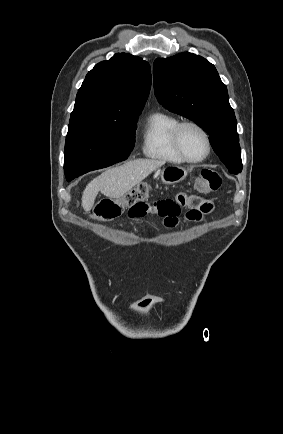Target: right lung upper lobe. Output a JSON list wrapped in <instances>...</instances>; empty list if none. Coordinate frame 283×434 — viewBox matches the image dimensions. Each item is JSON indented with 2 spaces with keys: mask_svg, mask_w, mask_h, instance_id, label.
I'll list each match as a JSON object with an SVG mask.
<instances>
[{
  "mask_svg": "<svg viewBox=\"0 0 283 434\" xmlns=\"http://www.w3.org/2000/svg\"><path fill=\"white\" fill-rule=\"evenodd\" d=\"M150 87L148 62L128 53H117L88 72L78 90L70 121L139 117Z\"/></svg>",
  "mask_w": 283,
  "mask_h": 434,
  "instance_id": "1",
  "label": "right lung upper lobe"
}]
</instances>
